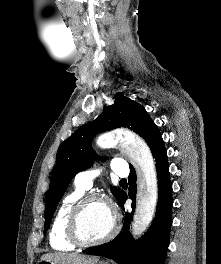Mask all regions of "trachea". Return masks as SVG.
<instances>
[{"mask_svg": "<svg viewBox=\"0 0 221 264\" xmlns=\"http://www.w3.org/2000/svg\"><path fill=\"white\" fill-rule=\"evenodd\" d=\"M120 182L121 183H126L127 181H126V179H121Z\"/></svg>", "mask_w": 221, "mask_h": 264, "instance_id": "3493384b", "label": "trachea"}]
</instances>
